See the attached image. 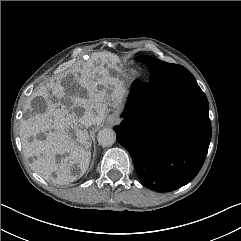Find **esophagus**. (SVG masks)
I'll return each instance as SVG.
<instances>
[{
	"instance_id": "34e87169",
	"label": "esophagus",
	"mask_w": 241,
	"mask_h": 241,
	"mask_svg": "<svg viewBox=\"0 0 241 241\" xmlns=\"http://www.w3.org/2000/svg\"><path fill=\"white\" fill-rule=\"evenodd\" d=\"M107 122H108L109 124H115V123H117L118 121H117V118L115 117V115H109V116L107 117Z\"/></svg>"
}]
</instances>
